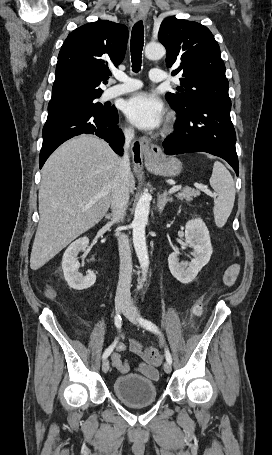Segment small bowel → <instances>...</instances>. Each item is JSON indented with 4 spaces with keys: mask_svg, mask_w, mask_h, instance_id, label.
I'll list each match as a JSON object with an SVG mask.
<instances>
[{
    "mask_svg": "<svg viewBox=\"0 0 272 455\" xmlns=\"http://www.w3.org/2000/svg\"><path fill=\"white\" fill-rule=\"evenodd\" d=\"M239 272L240 266L238 264L229 265L223 275V284L228 287L232 286L236 282ZM130 349L134 354L143 356L142 345L138 340H131ZM125 350V344L120 342L111 356L113 366L122 374H126L130 371L129 361L122 357ZM135 370L152 380H156L158 378V371L151 364L139 363L135 366Z\"/></svg>",
    "mask_w": 272,
    "mask_h": 455,
    "instance_id": "small-bowel-1",
    "label": "small bowel"
}]
</instances>
